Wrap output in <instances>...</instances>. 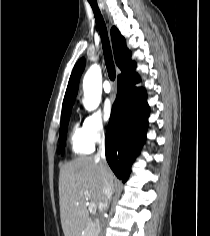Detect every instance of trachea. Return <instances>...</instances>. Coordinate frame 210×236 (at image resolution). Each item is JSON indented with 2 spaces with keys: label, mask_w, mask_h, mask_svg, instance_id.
I'll return each mask as SVG.
<instances>
[{
  "label": "trachea",
  "mask_w": 210,
  "mask_h": 236,
  "mask_svg": "<svg viewBox=\"0 0 210 236\" xmlns=\"http://www.w3.org/2000/svg\"><path fill=\"white\" fill-rule=\"evenodd\" d=\"M89 3L93 9L95 20L97 23V27L101 36L102 40V46H103V52H104V57H105V64L107 67V72L110 80L114 81L116 77L115 73V65L113 62V57H112V52H111V47H110V42L107 34V28L104 22V19L101 15V12L98 8L96 0H89Z\"/></svg>",
  "instance_id": "obj_1"
}]
</instances>
